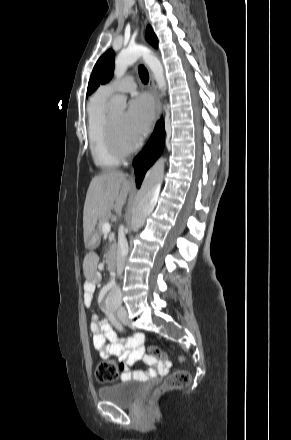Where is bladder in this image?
I'll use <instances>...</instances> for the list:
<instances>
[{
  "mask_svg": "<svg viewBox=\"0 0 291 440\" xmlns=\"http://www.w3.org/2000/svg\"><path fill=\"white\" fill-rule=\"evenodd\" d=\"M140 394V387L132 381H123L98 389V397L101 400L121 406L132 404Z\"/></svg>",
  "mask_w": 291,
  "mask_h": 440,
  "instance_id": "1",
  "label": "bladder"
}]
</instances>
